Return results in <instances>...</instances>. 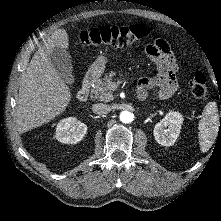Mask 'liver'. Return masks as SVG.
I'll list each match as a JSON object with an SVG mask.
<instances>
[{
    "label": "liver",
    "mask_w": 221,
    "mask_h": 221,
    "mask_svg": "<svg viewBox=\"0 0 221 221\" xmlns=\"http://www.w3.org/2000/svg\"><path fill=\"white\" fill-rule=\"evenodd\" d=\"M69 48L65 29H58L37 50L24 72L16 108V127L24 133L61 114L71 101L70 88L52 65L50 53Z\"/></svg>",
    "instance_id": "liver-1"
}]
</instances>
